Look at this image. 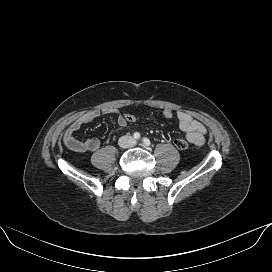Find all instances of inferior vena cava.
I'll return each instance as SVG.
<instances>
[{
  "mask_svg": "<svg viewBox=\"0 0 272 272\" xmlns=\"http://www.w3.org/2000/svg\"><path fill=\"white\" fill-rule=\"evenodd\" d=\"M118 145L121 148H130L134 145V139L129 135L121 136L118 140Z\"/></svg>",
  "mask_w": 272,
  "mask_h": 272,
  "instance_id": "inferior-vena-cava-1",
  "label": "inferior vena cava"
}]
</instances>
